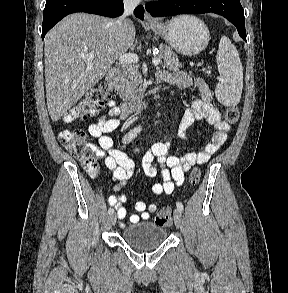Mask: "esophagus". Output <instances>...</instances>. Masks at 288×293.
Here are the masks:
<instances>
[{"mask_svg": "<svg viewBox=\"0 0 288 293\" xmlns=\"http://www.w3.org/2000/svg\"><path fill=\"white\" fill-rule=\"evenodd\" d=\"M145 21H146V23H154L155 19L148 12H146L145 13Z\"/></svg>", "mask_w": 288, "mask_h": 293, "instance_id": "34e87169", "label": "esophagus"}]
</instances>
